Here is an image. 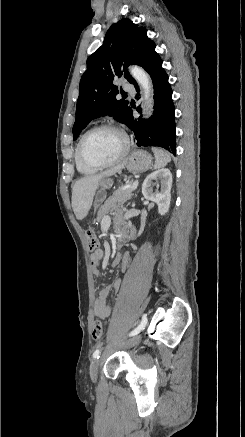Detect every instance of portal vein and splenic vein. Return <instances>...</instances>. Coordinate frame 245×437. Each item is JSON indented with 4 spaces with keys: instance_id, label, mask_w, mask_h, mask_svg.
<instances>
[{
    "instance_id": "portal-vein-and-splenic-vein-1",
    "label": "portal vein and splenic vein",
    "mask_w": 245,
    "mask_h": 437,
    "mask_svg": "<svg viewBox=\"0 0 245 437\" xmlns=\"http://www.w3.org/2000/svg\"><path fill=\"white\" fill-rule=\"evenodd\" d=\"M138 187V181H134L131 185L132 190H135Z\"/></svg>"
}]
</instances>
